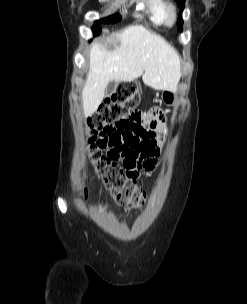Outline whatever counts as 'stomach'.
<instances>
[{
    "mask_svg": "<svg viewBox=\"0 0 247 304\" xmlns=\"http://www.w3.org/2000/svg\"><path fill=\"white\" fill-rule=\"evenodd\" d=\"M162 100L167 105H174L177 101L176 92L169 91V90H163Z\"/></svg>",
    "mask_w": 247,
    "mask_h": 304,
    "instance_id": "1",
    "label": "stomach"
}]
</instances>
